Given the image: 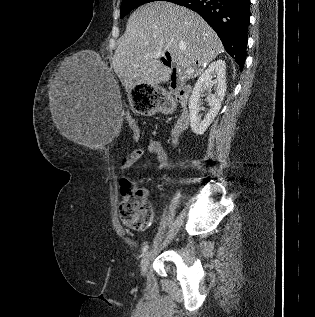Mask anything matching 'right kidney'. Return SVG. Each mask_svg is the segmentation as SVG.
Wrapping results in <instances>:
<instances>
[{"label":"right kidney","mask_w":315,"mask_h":317,"mask_svg":"<svg viewBox=\"0 0 315 317\" xmlns=\"http://www.w3.org/2000/svg\"><path fill=\"white\" fill-rule=\"evenodd\" d=\"M213 78L215 79L213 80ZM214 85L216 86V91L214 94H211V88ZM226 88V63L224 60L219 59L212 62L200 75L189 99L190 126L196 135L204 134L217 116L225 96ZM205 90L208 91L207 102L210 110L202 120L199 116L200 97Z\"/></svg>","instance_id":"ca27d5eb"}]
</instances>
